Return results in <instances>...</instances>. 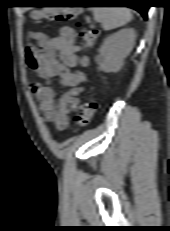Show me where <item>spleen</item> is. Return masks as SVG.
<instances>
[{
	"mask_svg": "<svg viewBox=\"0 0 170 231\" xmlns=\"http://www.w3.org/2000/svg\"><path fill=\"white\" fill-rule=\"evenodd\" d=\"M94 19L102 24L104 30H112L126 25L132 15L126 7H93Z\"/></svg>",
	"mask_w": 170,
	"mask_h": 231,
	"instance_id": "3e777b00",
	"label": "spleen"
}]
</instances>
